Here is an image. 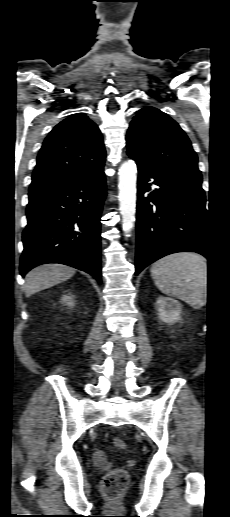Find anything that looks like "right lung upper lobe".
Wrapping results in <instances>:
<instances>
[{"label": "right lung upper lobe", "instance_id": "obj_1", "mask_svg": "<svg viewBox=\"0 0 230 517\" xmlns=\"http://www.w3.org/2000/svg\"><path fill=\"white\" fill-rule=\"evenodd\" d=\"M105 157L98 126L84 114L71 115L44 140L29 192L87 178L103 169Z\"/></svg>", "mask_w": 230, "mask_h": 517}]
</instances>
